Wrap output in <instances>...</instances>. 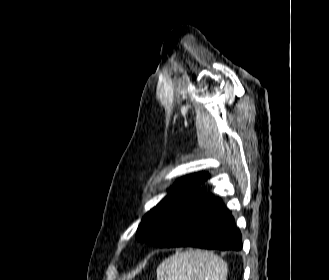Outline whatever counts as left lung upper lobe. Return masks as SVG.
I'll return each mask as SVG.
<instances>
[{"label":"left lung upper lobe","mask_w":329,"mask_h":280,"mask_svg":"<svg viewBox=\"0 0 329 280\" xmlns=\"http://www.w3.org/2000/svg\"><path fill=\"white\" fill-rule=\"evenodd\" d=\"M208 177V174L198 173L180 179L172 187L171 192L144 216L137 229L136 239L157 247H165L170 239L168 235L161 234V229L169 220L171 208L196 197V195L187 194L186 188L195 187Z\"/></svg>","instance_id":"obj_1"}]
</instances>
